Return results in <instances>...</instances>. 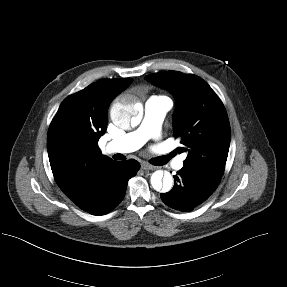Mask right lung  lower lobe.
<instances>
[{
  "label": "right lung lower lobe",
  "instance_id": "right-lung-lower-lobe-1",
  "mask_svg": "<svg viewBox=\"0 0 287 287\" xmlns=\"http://www.w3.org/2000/svg\"><path fill=\"white\" fill-rule=\"evenodd\" d=\"M139 168L134 159L106 162L94 170L71 200L92 215H104L122 201L128 180L136 175Z\"/></svg>",
  "mask_w": 287,
  "mask_h": 287
}]
</instances>
